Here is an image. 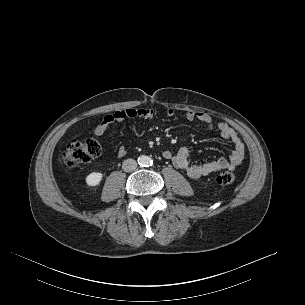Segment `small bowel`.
<instances>
[{
    "label": "small bowel",
    "instance_id": "1",
    "mask_svg": "<svg viewBox=\"0 0 305 305\" xmlns=\"http://www.w3.org/2000/svg\"><path fill=\"white\" fill-rule=\"evenodd\" d=\"M167 117H173L174 111L167 109L165 112ZM190 122L198 121L212 130L215 125L212 117L201 111H188L185 115ZM139 118L144 120H151L154 118V111L150 108H126L116 110L111 114L104 116L101 122L94 129V134L103 136L110 125L116 122H122L127 119ZM216 129L220 137L231 143L233 151L228 159L218 158L211 162L194 163L191 160V151L187 147L180 148L177 152L164 150L162 156L165 159L171 160L175 167L184 171L188 177L193 180H199L209 176L210 174L223 170L235 169L242 164L245 158V146L241 141L236 131L225 122H220L216 125ZM126 155L125 146L121 145L117 149V156L123 157Z\"/></svg>",
    "mask_w": 305,
    "mask_h": 305
}]
</instances>
